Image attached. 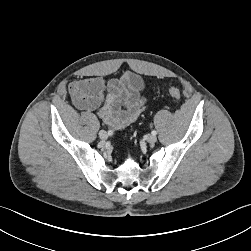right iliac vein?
<instances>
[{"label": "right iliac vein", "instance_id": "right-iliac-vein-1", "mask_svg": "<svg viewBox=\"0 0 251 251\" xmlns=\"http://www.w3.org/2000/svg\"><path fill=\"white\" fill-rule=\"evenodd\" d=\"M99 137L102 140H106L108 138V134H107V132L105 130H100L99 131Z\"/></svg>", "mask_w": 251, "mask_h": 251}]
</instances>
